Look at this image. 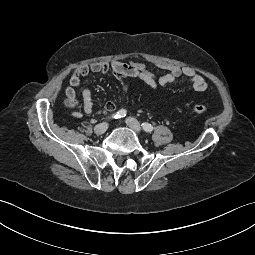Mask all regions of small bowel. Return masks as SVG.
<instances>
[{"label": "small bowel", "instance_id": "small-bowel-1", "mask_svg": "<svg viewBox=\"0 0 255 255\" xmlns=\"http://www.w3.org/2000/svg\"><path fill=\"white\" fill-rule=\"evenodd\" d=\"M156 67L165 70L164 75H157L152 69L143 63L132 61L129 63L114 60L107 62H93L77 68L70 77L69 86L66 88L67 98H75V88L79 87L81 80L90 74L111 73L120 79L125 77L138 78L145 82L152 90L156 91L159 87H164L174 83L181 78H187L191 86L196 91H205L208 88L207 81L199 73L192 69H182L179 66H171L163 63H157ZM122 90L125 94L129 92V86L126 81L121 80ZM83 111L90 114L93 109L92 91L85 88L82 91ZM105 110L112 112L116 105L113 101H108L104 106ZM79 116V113L75 114Z\"/></svg>", "mask_w": 255, "mask_h": 255}]
</instances>
